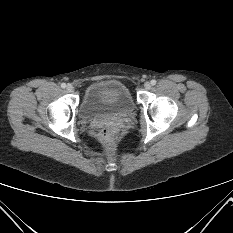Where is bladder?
<instances>
[{
  "mask_svg": "<svg viewBox=\"0 0 233 233\" xmlns=\"http://www.w3.org/2000/svg\"><path fill=\"white\" fill-rule=\"evenodd\" d=\"M134 107L131 92L122 81L105 79L89 84L79 111L83 118L94 119L111 113L128 114Z\"/></svg>",
  "mask_w": 233,
  "mask_h": 233,
  "instance_id": "31cf9c89",
  "label": "bladder"
}]
</instances>
